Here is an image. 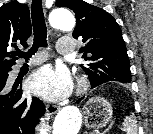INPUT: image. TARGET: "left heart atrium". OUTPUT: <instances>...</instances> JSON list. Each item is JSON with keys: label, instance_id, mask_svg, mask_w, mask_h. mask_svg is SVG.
<instances>
[{"label": "left heart atrium", "instance_id": "left-heart-atrium-1", "mask_svg": "<svg viewBox=\"0 0 153 134\" xmlns=\"http://www.w3.org/2000/svg\"><path fill=\"white\" fill-rule=\"evenodd\" d=\"M29 89L51 101L66 98L72 90V80L64 67L43 66L35 71L28 81Z\"/></svg>", "mask_w": 153, "mask_h": 134}]
</instances>
